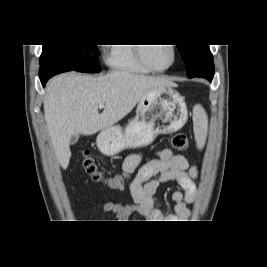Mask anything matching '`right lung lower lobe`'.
Returning <instances> with one entry per match:
<instances>
[{
	"label": "right lung lower lobe",
	"instance_id": "1",
	"mask_svg": "<svg viewBox=\"0 0 267 267\" xmlns=\"http://www.w3.org/2000/svg\"><path fill=\"white\" fill-rule=\"evenodd\" d=\"M73 71V69L56 63H45L40 65L39 77L43 87L46 85V82L54 75L59 73Z\"/></svg>",
	"mask_w": 267,
	"mask_h": 267
}]
</instances>
